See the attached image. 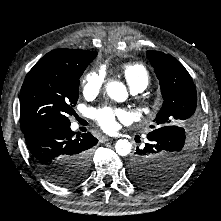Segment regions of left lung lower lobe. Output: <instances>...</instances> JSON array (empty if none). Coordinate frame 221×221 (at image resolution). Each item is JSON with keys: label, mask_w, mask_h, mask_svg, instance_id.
Masks as SVG:
<instances>
[{"label": "left lung lower lobe", "mask_w": 221, "mask_h": 221, "mask_svg": "<svg viewBox=\"0 0 221 221\" xmlns=\"http://www.w3.org/2000/svg\"><path fill=\"white\" fill-rule=\"evenodd\" d=\"M165 131H161L160 133H158L157 135H160L161 137H166L164 136L166 134ZM186 133V132H185ZM177 134H171V136H175ZM168 136V135H167ZM161 137H150L149 139H154V140H159ZM143 149H139L137 148L134 156L131 158L130 162H129V170H130V176L132 173H137L139 175H147L149 177V181H150V185H156L158 184L157 181L166 178L167 176H163V174H158L156 172H152L151 174H146L147 170L149 169L147 167V163L142 159V157L140 156L142 153Z\"/></svg>", "instance_id": "left-lung-lower-lobe-1"}]
</instances>
